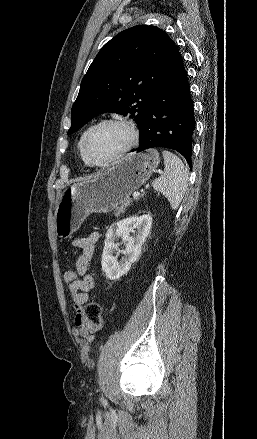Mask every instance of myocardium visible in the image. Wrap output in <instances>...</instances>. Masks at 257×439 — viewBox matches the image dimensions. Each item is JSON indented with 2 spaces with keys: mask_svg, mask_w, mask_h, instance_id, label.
<instances>
[{
  "mask_svg": "<svg viewBox=\"0 0 257 439\" xmlns=\"http://www.w3.org/2000/svg\"><path fill=\"white\" fill-rule=\"evenodd\" d=\"M107 125H118V126L125 128L129 134V141H128V144L117 155H115L109 161L96 162L93 159H91V157L89 156V153H88L89 143H90V140L93 137V135L99 129H101L102 127L107 126ZM138 139H139L138 130L134 126V124L131 123L130 121L125 120V119H105V120H102V121L98 122L97 124H95L88 131L87 135L84 138L83 147H82V154H83V157H84L86 163L89 166L95 167L98 169L108 168V167H111L112 165H114L115 163H117L119 160L123 159L137 145Z\"/></svg>",
  "mask_w": 257,
  "mask_h": 439,
  "instance_id": "obj_1",
  "label": "myocardium"
}]
</instances>
